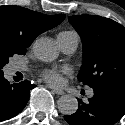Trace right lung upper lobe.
<instances>
[{
    "label": "right lung upper lobe",
    "instance_id": "right-lung-upper-lobe-1",
    "mask_svg": "<svg viewBox=\"0 0 125 125\" xmlns=\"http://www.w3.org/2000/svg\"><path fill=\"white\" fill-rule=\"evenodd\" d=\"M65 14L45 15L20 6H0V51L26 53L35 38L59 25Z\"/></svg>",
    "mask_w": 125,
    "mask_h": 125
}]
</instances>
